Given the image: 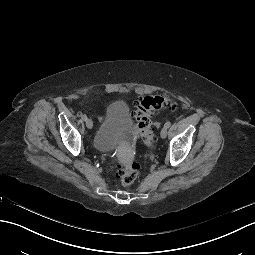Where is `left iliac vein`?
<instances>
[{"label": "left iliac vein", "mask_w": 255, "mask_h": 255, "mask_svg": "<svg viewBox=\"0 0 255 255\" xmlns=\"http://www.w3.org/2000/svg\"><path fill=\"white\" fill-rule=\"evenodd\" d=\"M161 138H166L167 136V128L163 127L161 132H160Z\"/></svg>", "instance_id": "obj_1"}]
</instances>
